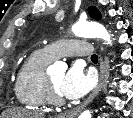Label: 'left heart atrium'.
<instances>
[{"label": "left heart atrium", "mask_w": 133, "mask_h": 118, "mask_svg": "<svg viewBox=\"0 0 133 118\" xmlns=\"http://www.w3.org/2000/svg\"><path fill=\"white\" fill-rule=\"evenodd\" d=\"M94 82L93 74L76 63L64 75L59 90L68 99H79L92 89Z\"/></svg>", "instance_id": "left-heart-atrium-1"}]
</instances>
